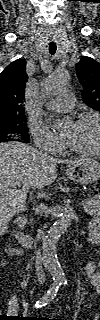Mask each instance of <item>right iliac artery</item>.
Returning a JSON list of instances; mask_svg holds the SVG:
<instances>
[{"instance_id":"82829eb1","label":"right iliac artery","mask_w":100,"mask_h":320,"mask_svg":"<svg viewBox=\"0 0 100 320\" xmlns=\"http://www.w3.org/2000/svg\"><path fill=\"white\" fill-rule=\"evenodd\" d=\"M61 284L62 282L59 280L54 281L47 293H45L44 296L35 303L34 307L41 308L53 300Z\"/></svg>"}]
</instances>
